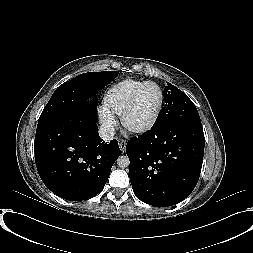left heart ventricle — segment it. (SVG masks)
I'll list each match as a JSON object with an SVG mask.
<instances>
[{"label": "left heart ventricle", "instance_id": "left-heart-ventricle-1", "mask_svg": "<svg viewBox=\"0 0 253 253\" xmlns=\"http://www.w3.org/2000/svg\"><path fill=\"white\" fill-rule=\"evenodd\" d=\"M159 102V90L153 85L146 86L139 94L137 102L129 115V124L134 127L146 125L152 119Z\"/></svg>", "mask_w": 253, "mask_h": 253}]
</instances>
